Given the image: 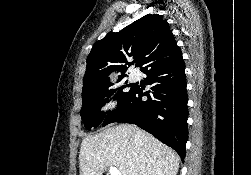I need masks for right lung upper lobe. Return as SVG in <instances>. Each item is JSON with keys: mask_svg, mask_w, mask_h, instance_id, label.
Here are the masks:
<instances>
[{"mask_svg": "<svg viewBox=\"0 0 251 175\" xmlns=\"http://www.w3.org/2000/svg\"><path fill=\"white\" fill-rule=\"evenodd\" d=\"M181 58L182 52L167 21L159 14H148L95 42L87 57L83 88L110 83L108 76L113 71L120 72L119 77L126 76L127 65L134 62L145 65L142 71L146 73Z\"/></svg>", "mask_w": 251, "mask_h": 175, "instance_id": "obj_1", "label": "right lung upper lobe"}]
</instances>
